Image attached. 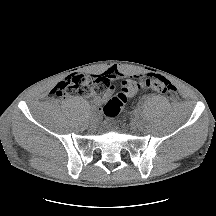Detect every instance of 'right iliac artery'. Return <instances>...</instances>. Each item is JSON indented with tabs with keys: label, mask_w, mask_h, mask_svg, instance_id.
<instances>
[{
	"label": "right iliac artery",
	"mask_w": 216,
	"mask_h": 216,
	"mask_svg": "<svg viewBox=\"0 0 216 216\" xmlns=\"http://www.w3.org/2000/svg\"><path fill=\"white\" fill-rule=\"evenodd\" d=\"M87 114H88V117H93V115L95 114V111L91 110Z\"/></svg>",
	"instance_id": "right-iliac-artery-1"
}]
</instances>
